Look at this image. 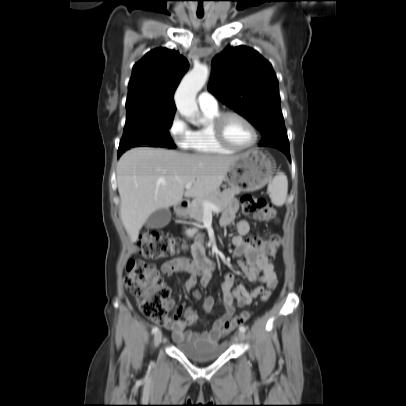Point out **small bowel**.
Here are the masks:
<instances>
[{
  "label": "small bowel",
  "instance_id": "1",
  "mask_svg": "<svg viewBox=\"0 0 406 406\" xmlns=\"http://www.w3.org/2000/svg\"><path fill=\"white\" fill-rule=\"evenodd\" d=\"M238 203L231 200L227 209L223 212L220 219L222 227L230 226L236 217ZM250 223L242 219L235 226V234L231 238L234 245V255L244 257V260L238 262L240 270L246 275L251 282H260L268 289H274L277 285V276L274 264L271 259L264 257L253 245L245 241L244 237L250 234ZM193 258L177 257L165 262L161 271L165 276H173L179 273L187 275L184 286L188 291H192L197 278H201V283L206 285L212 275L214 266L210 258L205 255L201 238H199L192 247ZM235 277L232 273L227 272L224 275L221 284L222 300L225 312L217 318L210 326V329L204 333H196L187 330L188 326L193 325L198 320V313L195 309L181 305L177 307L171 317L168 318L164 327L172 330L175 342H183L195 346H204L216 344L226 335L223 325L230 320L237 308L250 305L263 291V286H257L248 290L243 284H238L235 289L233 285ZM196 298L200 294L194 292ZM175 302L173 299L167 300L168 308H173ZM215 301L212 297H206L203 301V309L206 313L211 314L214 311Z\"/></svg>",
  "mask_w": 406,
  "mask_h": 406
}]
</instances>
